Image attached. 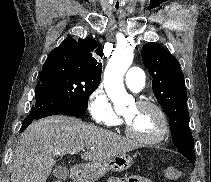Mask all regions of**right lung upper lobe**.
<instances>
[{
	"label": "right lung upper lobe",
	"mask_w": 211,
	"mask_h": 182,
	"mask_svg": "<svg viewBox=\"0 0 211 182\" xmlns=\"http://www.w3.org/2000/svg\"><path fill=\"white\" fill-rule=\"evenodd\" d=\"M102 55V45L95 39L87 37L75 40L67 37L49 53L43 67L60 66L86 79L100 82L102 64L99 63V57Z\"/></svg>",
	"instance_id": "1"
}]
</instances>
